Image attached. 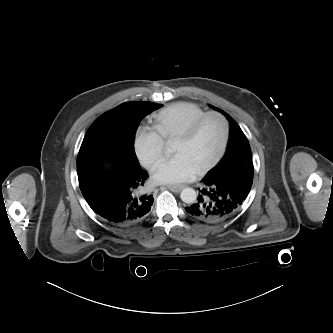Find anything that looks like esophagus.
I'll return each instance as SVG.
<instances>
[{
	"label": "esophagus",
	"instance_id": "obj_1",
	"mask_svg": "<svg viewBox=\"0 0 333 333\" xmlns=\"http://www.w3.org/2000/svg\"><path fill=\"white\" fill-rule=\"evenodd\" d=\"M185 186L184 185H168L167 188L170 189L173 192H180Z\"/></svg>",
	"mask_w": 333,
	"mask_h": 333
}]
</instances>
